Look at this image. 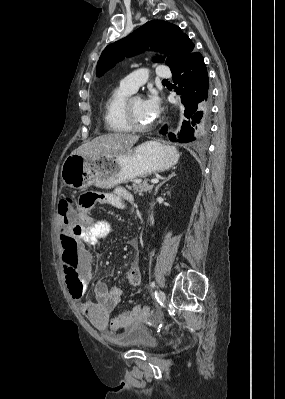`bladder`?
<instances>
[{
    "label": "bladder",
    "instance_id": "31cf9c89",
    "mask_svg": "<svg viewBox=\"0 0 285 399\" xmlns=\"http://www.w3.org/2000/svg\"><path fill=\"white\" fill-rule=\"evenodd\" d=\"M121 344L125 347L152 350L157 346L158 341L149 331L134 326L126 330L124 336L121 338Z\"/></svg>",
    "mask_w": 285,
    "mask_h": 399
}]
</instances>
